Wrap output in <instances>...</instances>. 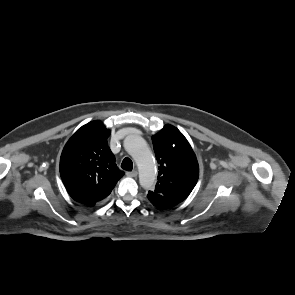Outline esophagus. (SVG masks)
I'll use <instances>...</instances> for the list:
<instances>
[{
    "label": "esophagus",
    "instance_id": "34e87169",
    "mask_svg": "<svg viewBox=\"0 0 295 295\" xmlns=\"http://www.w3.org/2000/svg\"><path fill=\"white\" fill-rule=\"evenodd\" d=\"M126 175H127L128 177H136V176H137V171L127 172Z\"/></svg>",
    "mask_w": 295,
    "mask_h": 295
}]
</instances>
